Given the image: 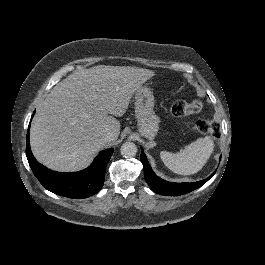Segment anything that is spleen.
<instances>
[{
  "label": "spleen",
  "mask_w": 265,
  "mask_h": 265,
  "mask_svg": "<svg viewBox=\"0 0 265 265\" xmlns=\"http://www.w3.org/2000/svg\"><path fill=\"white\" fill-rule=\"evenodd\" d=\"M214 148L215 143L212 139L199 138L177 154L161 151L160 158L173 173L191 176L203 169L214 153Z\"/></svg>",
  "instance_id": "3e777b00"
}]
</instances>
